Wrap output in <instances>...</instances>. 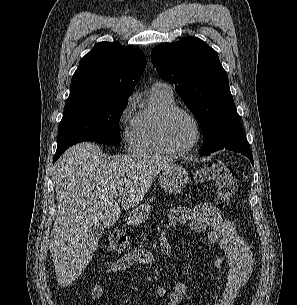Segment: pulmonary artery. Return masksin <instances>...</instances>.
<instances>
[{
	"label": "pulmonary artery",
	"instance_id": "1",
	"mask_svg": "<svg viewBox=\"0 0 297 305\" xmlns=\"http://www.w3.org/2000/svg\"><path fill=\"white\" fill-rule=\"evenodd\" d=\"M153 86H157V87H161L163 88L166 92L173 94V90L171 85H169L168 83H164V82H156L154 83Z\"/></svg>",
	"mask_w": 297,
	"mask_h": 305
}]
</instances>
